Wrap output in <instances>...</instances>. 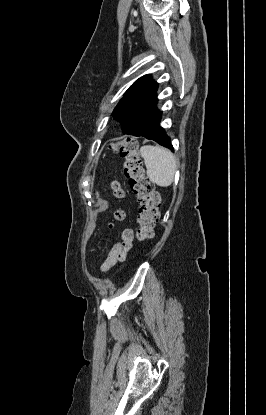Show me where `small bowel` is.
<instances>
[{"label": "small bowel", "mask_w": 266, "mask_h": 415, "mask_svg": "<svg viewBox=\"0 0 266 415\" xmlns=\"http://www.w3.org/2000/svg\"><path fill=\"white\" fill-rule=\"evenodd\" d=\"M133 231L131 229H125L121 236V242L117 243L112 247V249L107 254L105 260L101 265L102 271L109 270L116 263L124 261L126 258L127 252L132 247L133 242Z\"/></svg>", "instance_id": "c3829d8e"}]
</instances>
